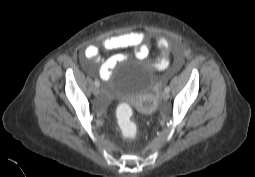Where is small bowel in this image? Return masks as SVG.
<instances>
[{
	"label": "small bowel",
	"instance_id": "c3829d8e",
	"mask_svg": "<svg viewBox=\"0 0 255 177\" xmlns=\"http://www.w3.org/2000/svg\"><path fill=\"white\" fill-rule=\"evenodd\" d=\"M169 44V43H168ZM102 46L107 50H118L135 47L136 55L144 58L149 54L150 48L147 43L146 35L141 31L128 32L117 36L107 37L102 41ZM125 59L123 54H114L106 59L100 58V51L96 45H89L85 48L82 61L87 70H91L89 61L101 64L99 74L102 80H107L113 68Z\"/></svg>",
	"mask_w": 255,
	"mask_h": 177
}]
</instances>
